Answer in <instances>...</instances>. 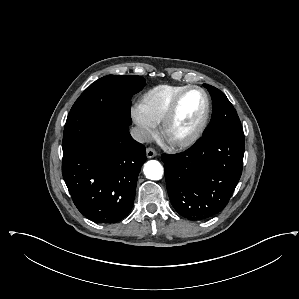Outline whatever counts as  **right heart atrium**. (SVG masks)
Listing matches in <instances>:
<instances>
[{"instance_id": "1", "label": "right heart atrium", "mask_w": 299, "mask_h": 299, "mask_svg": "<svg viewBox=\"0 0 299 299\" xmlns=\"http://www.w3.org/2000/svg\"><path fill=\"white\" fill-rule=\"evenodd\" d=\"M131 115L133 121L139 128L140 138L143 141L150 140L156 133V125L142 114L139 107H134L131 111Z\"/></svg>"}]
</instances>
